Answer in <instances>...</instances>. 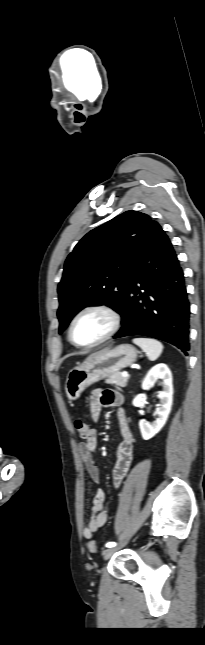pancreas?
I'll use <instances>...</instances> for the list:
<instances>
[{
    "instance_id": "1",
    "label": "pancreas",
    "mask_w": 205,
    "mask_h": 645,
    "mask_svg": "<svg viewBox=\"0 0 205 645\" xmlns=\"http://www.w3.org/2000/svg\"><path fill=\"white\" fill-rule=\"evenodd\" d=\"M105 382L107 384H114L117 387H125L128 382V377H123L122 373H115L110 375Z\"/></svg>"
}]
</instances>
